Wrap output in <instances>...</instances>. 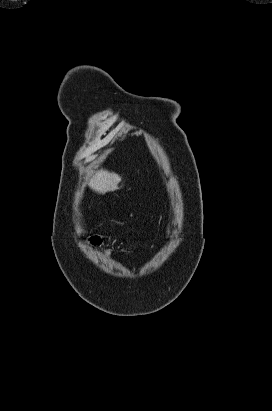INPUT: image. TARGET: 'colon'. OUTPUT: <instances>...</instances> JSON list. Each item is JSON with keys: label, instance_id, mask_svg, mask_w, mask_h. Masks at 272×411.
Instances as JSON below:
<instances>
[{"label": "colon", "instance_id": "5ec220e1", "mask_svg": "<svg viewBox=\"0 0 272 411\" xmlns=\"http://www.w3.org/2000/svg\"><path fill=\"white\" fill-rule=\"evenodd\" d=\"M90 242H91V244L94 245V246H100L101 243H102L101 239H100L99 237H97V236L91 237V238H90ZM106 252L108 253L109 251L106 250Z\"/></svg>", "mask_w": 272, "mask_h": 411}]
</instances>
